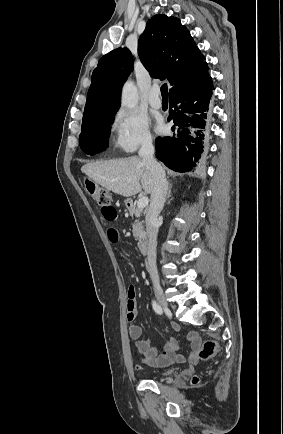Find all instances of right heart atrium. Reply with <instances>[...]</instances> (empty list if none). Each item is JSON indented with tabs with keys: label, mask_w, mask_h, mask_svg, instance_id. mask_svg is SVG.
<instances>
[{
	"label": "right heart atrium",
	"mask_w": 283,
	"mask_h": 434,
	"mask_svg": "<svg viewBox=\"0 0 283 434\" xmlns=\"http://www.w3.org/2000/svg\"><path fill=\"white\" fill-rule=\"evenodd\" d=\"M114 144L123 152L131 153L152 142L148 120L141 114L122 110L113 124Z\"/></svg>",
	"instance_id": "1"
}]
</instances>
